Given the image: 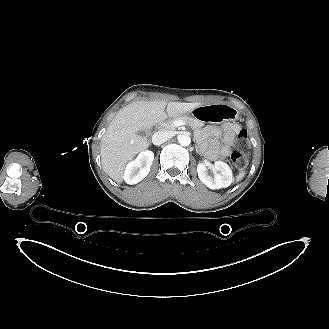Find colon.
<instances>
[{
	"instance_id": "colon-1",
	"label": "colon",
	"mask_w": 329,
	"mask_h": 329,
	"mask_svg": "<svg viewBox=\"0 0 329 329\" xmlns=\"http://www.w3.org/2000/svg\"><path fill=\"white\" fill-rule=\"evenodd\" d=\"M238 147L237 149L232 153L231 159L234 163V165L238 169H242L246 166L248 162V156H249V140H248V133L245 129H242L240 133L238 134Z\"/></svg>"
}]
</instances>
